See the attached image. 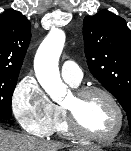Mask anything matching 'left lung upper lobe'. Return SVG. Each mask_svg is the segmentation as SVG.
Segmentation results:
<instances>
[{"label": "left lung upper lobe", "mask_w": 131, "mask_h": 151, "mask_svg": "<svg viewBox=\"0 0 131 151\" xmlns=\"http://www.w3.org/2000/svg\"><path fill=\"white\" fill-rule=\"evenodd\" d=\"M83 37L92 75L119 101L131 129V31L108 10L86 16Z\"/></svg>", "instance_id": "1"}]
</instances>
